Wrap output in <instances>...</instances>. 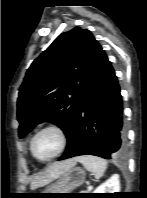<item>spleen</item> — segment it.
<instances>
[{
    "instance_id": "3e777b00",
    "label": "spleen",
    "mask_w": 147,
    "mask_h": 198,
    "mask_svg": "<svg viewBox=\"0 0 147 198\" xmlns=\"http://www.w3.org/2000/svg\"><path fill=\"white\" fill-rule=\"evenodd\" d=\"M85 169L92 172L96 179H100L107 169V161L92 155H83L76 158Z\"/></svg>"
}]
</instances>
